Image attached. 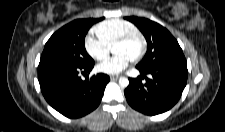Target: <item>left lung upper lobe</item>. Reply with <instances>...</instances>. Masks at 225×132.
<instances>
[{"label":"left lung upper lobe","instance_id":"left-lung-upper-lobe-1","mask_svg":"<svg viewBox=\"0 0 225 132\" xmlns=\"http://www.w3.org/2000/svg\"><path fill=\"white\" fill-rule=\"evenodd\" d=\"M126 19L134 23L147 40V53L137 68L146 71L161 65H186L181 47L166 28L145 18L131 16Z\"/></svg>","mask_w":225,"mask_h":132}]
</instances>
